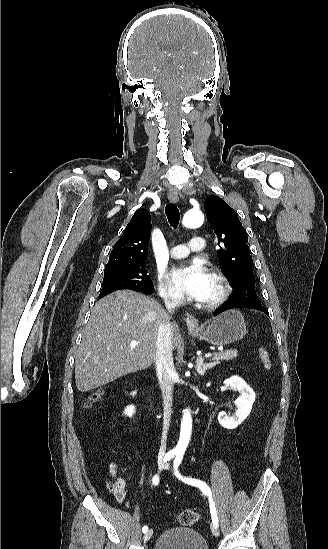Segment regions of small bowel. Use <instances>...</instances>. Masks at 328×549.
<instances>
[{"label":"small bowel","instance_id":"obj_1","mask_svg":"<svg viewBox=\"0 0 328 549\" xmlns=\"http://www.w3.org/2000/svg\"><path fill=\"white\" fill-rule=\"evenodd\" d=\"M108 472L111 477L114 478L113 482L108 483V488L114 495L115 499L119 503H123L126 500V486L127 479L121 474L119 465L116 462H111L108 467Z\"/></svg>","mask_w":328,"mask_h":549}]
</instances>
